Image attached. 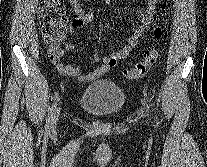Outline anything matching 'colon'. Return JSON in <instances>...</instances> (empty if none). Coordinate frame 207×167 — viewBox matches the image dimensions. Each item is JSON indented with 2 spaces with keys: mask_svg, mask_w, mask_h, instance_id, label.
Here are the masks:
<instances>
[{
  "mask_svg": "<svg viewBox=\"0 0 207 167\" xmlns=\"http://www.w3.org/2000/svg\"><path fill=\"white\" fill-rule=\"evenodd\" d=\"M164 9H172V6L163 4ZM41 32L45 41L50 45H57L67 26L68 20L65 14L62 0H42L40 8ZM165 30L162 26L154 29V37L161 39ZM159 57L157 49L147 51L144 58L137 62L132 68L125 69L123 76L126 79H139L144 77L154 67Z\"/></svg>",
  "mask_w": 207,
  "mask_h": 167,
  "instance_id": "1",
  "label": "colon"
}]
</instances>
